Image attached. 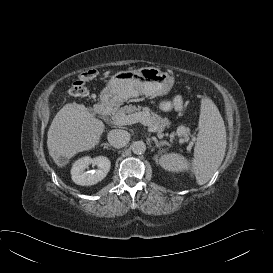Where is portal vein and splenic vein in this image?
I'll use <instances>...</instances> for the list:
<instances>
[{
	"mask_svg": "<svg viewBox=\"0 0 273 273\" xmlns=\"http://www.w3.org/2000/svg\"><path fill=\"white\" fill-rule=\"evenodd\" d=\"M138 122H141L143 125H148L149 131L153 132L155 130L148 120V114L142 112L130 114L114 121L116 125H131Z\"/></svg>",
	"mask_w": 273,
	"mask_h": 273,
	"instance_id": "obj_1",
	"label": "portal vein and splenic vein"
}]
</instances>
